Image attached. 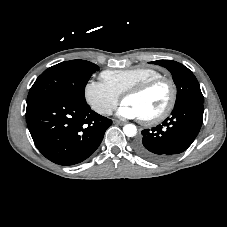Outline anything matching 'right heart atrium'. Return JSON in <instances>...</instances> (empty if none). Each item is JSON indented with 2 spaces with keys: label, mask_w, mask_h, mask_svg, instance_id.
Returning a JSON list of instances; mask_svg holds the SVG:
<instances>
[{
  "label": "right heart atrium",
  "mask_w": 227,
  "mask_h": 227,
  "mask_svg": "<svg viewBox=\"0 0 227 227\" xmlns=\"http://www.w3.org/2000/svg\"><path fill=\"white\" fill-rule=\"evenodd\" d=\"M89 106L100 115H110L119 102V95L103 81L89 80L84 87Z\"/></svg>",
  "instance_id": "d8ad5b80"
}]
</instances>
